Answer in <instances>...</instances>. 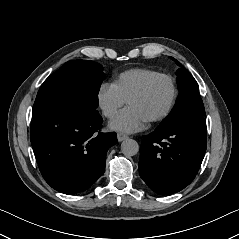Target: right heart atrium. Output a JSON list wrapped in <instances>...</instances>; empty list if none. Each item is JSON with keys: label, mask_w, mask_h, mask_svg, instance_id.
<instances>
[{"label": "right heart atrium", "mask_w": 239, "mask_h": 239, "mask_svg": "<svg viewBox=\"0 0 239 239\" xmlns=\"http://www.w3.org/2000/svg\"><path fill=\"white\" fill-rule=\"evenodd\" d=\"M97 101L104 116L113 117L124 105L125 99L120 95L114 84L103 83L97 94Z\"/></svg>", "instance_id": "right-heart-atrium-1"}]
</instances>
